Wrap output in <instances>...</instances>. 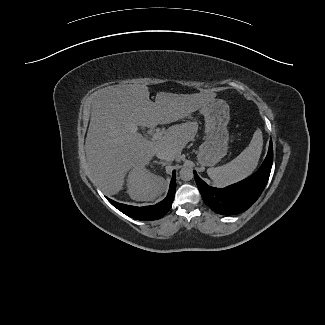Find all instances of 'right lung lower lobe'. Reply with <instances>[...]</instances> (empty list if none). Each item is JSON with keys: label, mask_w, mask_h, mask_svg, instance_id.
<instances>
[{"label": "right lung lower lobe", "mask_w": 325, "mask_h": 325, "mask_svg": "<svg viewBox=\"0 0 325 325\" xmlns=\"http://www.w3.org/2000/svg\"><path fill=\"white\" fill-rule=\"evenodd\" d=\"M176 176L175 171L172 173V179L170 182V188L167 196L161 202L144 207H136L131 205H126L122 203L115 202L109 198L107 200L122 213L128 215L137 220L151 221L163 217L171 208L172 202L174 200L175 190H176Z\"/></svg>", "instance_id": "obj_1"}]
</instances>
